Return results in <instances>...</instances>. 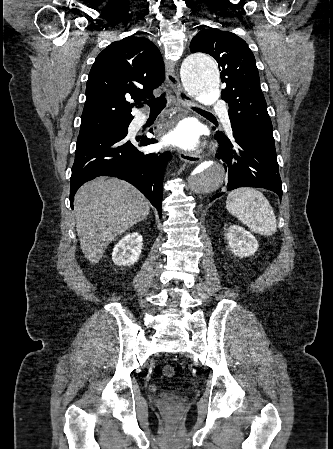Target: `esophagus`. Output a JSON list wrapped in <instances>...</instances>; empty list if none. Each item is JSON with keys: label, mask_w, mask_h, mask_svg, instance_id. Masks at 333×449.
<instances>
[{"label": "esophagus", "mask_w": 333, "mask_h": 449, "mask_svg": "<svg viewBox=\"0 0 333 449\" xmlns=\"http://www.w3.org/2000/svg\"><path fill=\"white\" fill-rule=\"evenodd\" d=\"M166 79L173 89L177 97V104L181 110L187 111L192 105L191 97L184 91L179 79L177 78L173 63L165 61ZM179 158L181 161L194 164L201 160V155L196 153H188L186 151L179 152Z\"/></svg>", "instance_id": "esophagus-1"}]
</instances>
